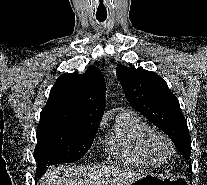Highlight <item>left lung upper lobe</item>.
<instances>
[{
    "label": "left lung upper lobe",
    "mask_w": 207,
    "mask_h": 185,
    "mask_svg": "<svg viewBox=\"0 0 207 185\" xmlns=\"http://www.w3.org/2000/svg\"><path fill=\"white\" fill-rule=\"evenodd\" d=\"M116 74L130 105L164 131L183 157L189 159L191 138L187 121L166 81L141 67L132 69L118 65ZM189 168L191 170V165Z\"/></svg>",
    "instance_id": "1"
}]
</instances>
